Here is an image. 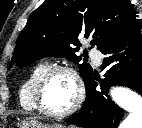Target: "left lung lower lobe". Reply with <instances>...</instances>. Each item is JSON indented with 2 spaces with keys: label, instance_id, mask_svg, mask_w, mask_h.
Returning <instances> with one entry per match:
<instances>
[{
  "label": "left lung lower lobe",
  "instance_id": "1",
  "mask_svg": "<svg viewBox=\"0 0 142 128\" xmlns=\"http://www.w3.org/2000/svg\"><path fill=\"white\" fill-rule=\"evenodd\" d=\"M105 58L101 70L104 79L93 74L85 83L86 100L81 111L67 122L83 128H117L124 112L108 95L113 85L125 86L142 96V34L139 24L100 50ZM101 91H97L98 83Z\"/></svg>",
  "mask_w": 142,
  "mask_h": 128
}]
</instances>
